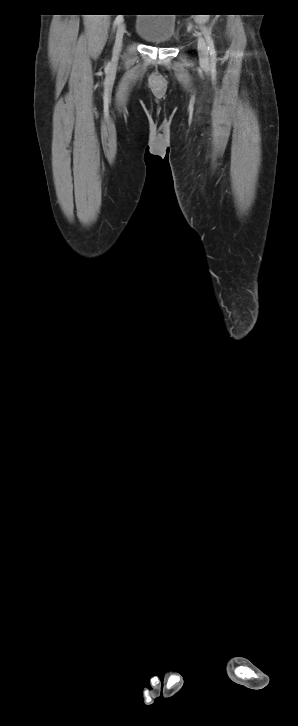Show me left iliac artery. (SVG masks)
I'll list each match as a JSON object with an SVG mask.
<instances>
[{
    "instance_id": "1",
    "label": "left iliac artery",
    "mask_w": 298,
    "mask_h": 726,
    "mask_svg": "<svg viewBox=\"0 0 298 726\" xmlns=\"http://www.w3.org/2000/svg\"><path fill=\"white\" fill-rule=\"evenodd\" d=\"M203 33H204L206 42L208 44V51H209L211 60L214 61L216 59V50H215L213 39L211 38L210 32L206 28L203 29Z\"/></svg>"
}]
</instances>
